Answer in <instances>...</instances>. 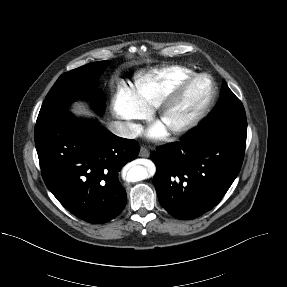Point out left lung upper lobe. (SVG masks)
<instances>
[{
  "mask_svg": "<svg viewBox=\"0 0 287 287\" xmlns=\"http://www.w3.org/2000/svg\"><path fill=\"white\" fill-rule=\"evenodd\" d=\"M200 129L205 133H220L246 140L247 122L244 107L225 81L216 107L202 121Z\"/></svg>",
  "mask_w": 287,
  "mask_h": 287,
  "instance_id": "obj_1",
  "label": "left lung upper lobe"
}]
</instances>
